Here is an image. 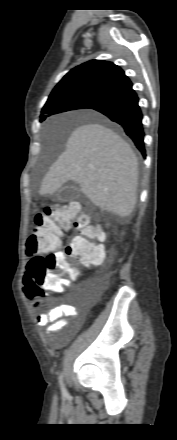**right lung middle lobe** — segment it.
<instances>
[{
  "instance_id": "1",
  "label": "right lung middle lobe",
  "mask_w": 177,
  "mask_h": 440,
  "mask_svg": "<svg viewBox=\"0 0 177 440\" xmlns=\"http://www.w3.org/2000/svg\"><path fill=\"white\" fill-rule=\"evenodd\" d=\"M96 99L93 96L78 92H62L49 96L45 106L42 109V120L46 118V114H57L69 110L86 108Z\"/></svg>"
}]
</instances>
